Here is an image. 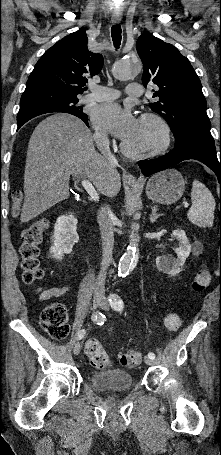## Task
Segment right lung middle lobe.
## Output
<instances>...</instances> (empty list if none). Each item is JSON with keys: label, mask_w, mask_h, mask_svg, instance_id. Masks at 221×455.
<instances>
[{"label": "right lung middle lobe", "mask_w": 221, "mask_h": 455, "mask_svg": "<svg viewBox=\"0 0 221 455\" xmlns=\"http://www.w3.org/2000/svg\"><path fill=\"white\" fill-rule=\"evenodd\" d=\"M77 102L78 98H70L59 100L51 104L27 107L23 109L20 108L17 121L32 115H41L51 112H65L79 117L86 124L88 123V116L83 113L82 107L76 106Z\"/></svg>", "instance_id": "1"}]
</instances>
